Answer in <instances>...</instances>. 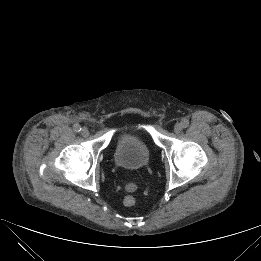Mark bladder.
Masks as SVG:
<instances>
[{"label": "bladder", "instance_id": "bladder-1", "mask_svg": "<svg viewBox=\"0 0 261 261\" xmlns=\"http://www.w3.org/2000/svg\"><path fill=\"white\" fill-rule=\"evenodd\" d=\"M149 158V147L144 134L139 130L118 131L114 161L123 169L136 171L144 167Z\"/></svg>", "mask_w": 261, "mask_h": 261}]
</instances>
